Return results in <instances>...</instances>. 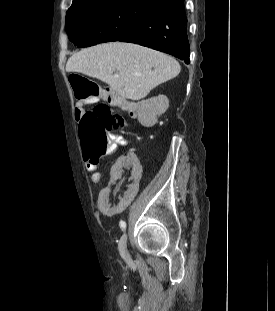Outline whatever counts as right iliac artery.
Segmentation results:
<instances>
[{
    "mask_svg": "<svg viewBox=\"0 0 275 311\" xmlns=\"http://www.w3.org/2000/svg\"><path fill=\"white\" fill-rule=\"evenodd\" d=\"M120 227L122 228V230L126 229V223L124 221H120Z\"/></svg>",
    "mask_w": 275,
    "mask_h": 311,
    "instance_id": "right-iliac-artery-1",
    "label": "right iliac artery"
}]
</instances>
